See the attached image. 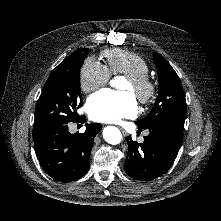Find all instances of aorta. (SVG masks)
Listing matches in <instances>:
<instances>
[{
  "instance_id": "obj_1",
  "label": "aorta",
  "mask_w": 221,
  "mask_h": 221,
  "mask_svg": "<svg viewBox=\"0 0 221 221\" xmlns=\"http://www.w3.org/2000/svg\"><path fill=\"white\" fill-rule=\"evenodd\" d=\"M103 138L107 143L117 145L122 140V134L118 128L108 126L103 130Z\"/></svg>"
}]
</instances>
